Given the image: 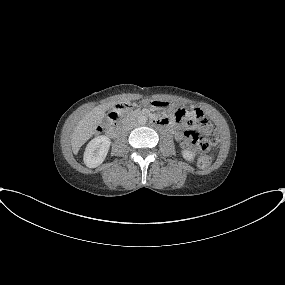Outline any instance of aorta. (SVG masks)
Segmentation results:
<instances>
[{"label":"aorta","instance_id":"aorta-1","mask_svg":"<svg viewBox=\"0 0 285 285\" xmlns=\"http://www.w3.org/2000/svg\"><path fill=\"white\" fill-rule=\"evenodd\" d=\"M147 117L145 116V115H140L139 117H138V123L139 124H145L146 122H147Z\"/></svg>","mask_w":285,"mask_h":285}]
</instances>
